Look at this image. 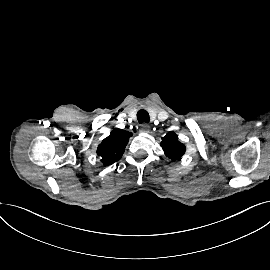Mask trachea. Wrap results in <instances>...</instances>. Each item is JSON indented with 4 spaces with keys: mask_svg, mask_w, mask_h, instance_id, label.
<instances>
[{
    "mask_svg": "<svg viewBox=\"0 0 270 270\" xmlns=\"http://www.w3.org/2000/svg\"><path fill=\"white\" fill-rule=\"evenodd\" d=\"M139 123H148L150 121L149 114L146 110L141 109L137 113Z\"/></svg>",
    "mask_w": 270,
    "mask_h": 270,
    "instance_id": "3493384b",
    "label": "trachea"
}]
</instances>
